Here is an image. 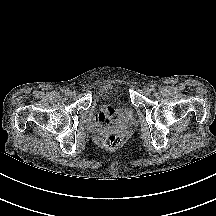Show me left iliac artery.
I'll return each mask as SVG.
<instances>
[{"label": "left iliac artery", "mask_w": 216, "mask_h": 216, "mask_svg": "<svg viewBox=\"0 0 216 216\" xmlns=\"http://www.w3.org/2000/svg\"><path fill=\"white\" fill-rule=\"evenodd\" d=\"M150 87H151V90H152V91L155 90V86H154V85H151Z\"/></svg>", "instance_id": "left-iliac-artery-1"}]
</instances>
